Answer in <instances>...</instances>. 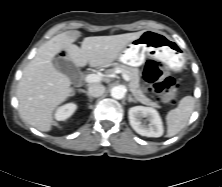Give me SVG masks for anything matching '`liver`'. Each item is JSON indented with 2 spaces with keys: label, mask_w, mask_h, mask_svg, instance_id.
Masks as SVG:
<instances>
[{
  "label": "liver",
  "mask_w": 222,
  "mask_h": 187,
  "mask_svg": "<svg viewBox=\"0 0 222 187\" xmlns=\"http://www.w3.org/2000/svg\"><path fill=\"white\" fill-rule=\"evenodd\" d=\"M143 32L86 37L81 48L73 44L81 36L79 31L51 38L38 49L19 81L17 99L22 119L40 131H50L55 109L73 95L70 79L53 65V58L60 51L65 50L77 67H107Z\"/></svg>",
  "instance_id": "6515ba94"
}]
</instances>
